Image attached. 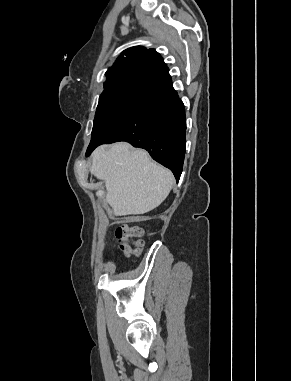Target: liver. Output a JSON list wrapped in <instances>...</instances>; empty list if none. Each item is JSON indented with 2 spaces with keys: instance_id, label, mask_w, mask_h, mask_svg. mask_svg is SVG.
<instances>
[{
  "instance_id": "6515ba94",
  "label": "liver",
  "mask_w": 291,
  "mask_h": 381,
  "mask_svg": "<svg viewBox=\"0 0 291 381\" xmlns=\"http://www.w3.org/2000/svg\"><path fill=\"white\" fill-rule=\"evenodd\" d=\"M90 172L105 182L106 201L115 216L141 215L155 209L167 198L174 181L171 171L128 143L98 147Z\"/></svg>"
}]
</instances>
